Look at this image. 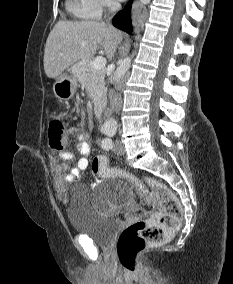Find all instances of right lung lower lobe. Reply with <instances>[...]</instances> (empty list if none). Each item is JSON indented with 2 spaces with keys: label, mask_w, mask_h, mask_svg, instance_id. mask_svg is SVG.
<instances>
[{
  "label": "right lung lower lobe",
  "mask_w": 233,
  "mask_h": 284,
  "mask_svg": "<svg viewBox=\"0 0 233 284\" xmlns=\"http://www.w3.org/2000/svg\"><path fill=\"white\" fill-rule=\"evenodd\" d=\"M131 5L132 0H129L127 5L119 13L115 15L112 23L115 27L131 34L132 33V23H131Z\"/></svg>",
  "instance_id": "98d812e1"
}]
</instances>
